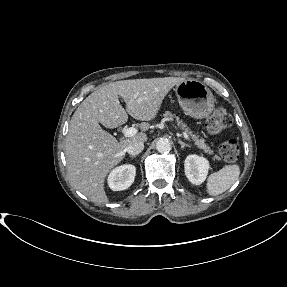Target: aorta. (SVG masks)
Listing matches in <instances>:
<instances>
[{"instance_id":"aorta-1","label":"aorta","mask_w":287,"mask_h":287,"mask_svg":"<svg viewBox=\"0 0 287 287\" xmlns=\"http://www.w3.org/2000/svg\"><path fill=\"white\" fill-rule=\"evenodd\" d=\"M171 148H172L171 142L166 138H160L156 142V150L159 153H168L170 152Z\"/></svg>"}]
</instances>
